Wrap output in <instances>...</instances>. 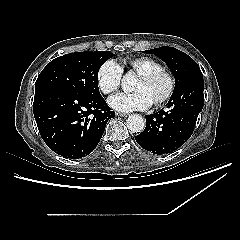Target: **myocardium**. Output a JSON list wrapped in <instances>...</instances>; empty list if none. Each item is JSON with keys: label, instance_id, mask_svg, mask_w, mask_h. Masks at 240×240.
Instances as JSON below:
<instances>
[{"label": "myocardium", "instance_id": "myocardium-1", "mask_svg": "<svg viewBox=\"0 0 240 240\" xmlns=\"http://www.w3.org/2000/svg\"><path fill=\"white\" fill-rule=\"evenodd\" d=\"M138 78L142 79L143 81L150 82L157 78H161L166 82V90L161 97L154 101V104H161L168 100L173 91V82L171 79L160 69L154 68L145 72L138 74Z\"/></svg>", "mask_w": 240, "mask_h": 240}]
</instances>
